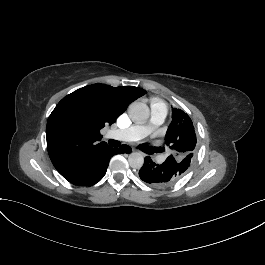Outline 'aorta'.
I'll list each match as a JSON object with an SVG mask.
<instances>
[{
	"label": "aorta",
	"mask_w": 265,
	"mask_h": 265,
	"mask_svg": "<svg viewBox=\"0 0 265 265\" xmlns=\"http://www.w3.org/2000/svg\"><path fill=\"white\" fill-rule=\"evenodd\" d=\"M133 121L144 123L149 118V107L142 102H133L128 108ZM129 165L134 169H140L144 164V157L139 152H133L128 157Z\"/></svg>",
	"instance_id": "obj_1"
}]
</instances>
